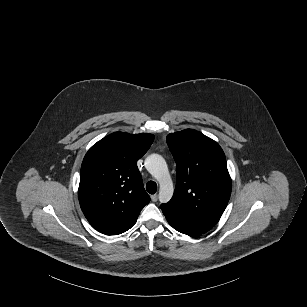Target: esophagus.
I'll return each mask as SVG.
<instances>
[{
  "label": "esophagus",
  "instance_id": "34e87169",
  "mask_svg": "<svg viewBox=\"0 0 307 307\" xmlns=\"http://www.w3.org/2000/svg\"><path fill=\"white\" fill-rule=\"evenodd\" d=\"M151 200H152L153 202H157V200H158L157 194L151 195Z\"/></svg>",
  "mask_w": 307,
  "mask_h": 307
}]
</instances>
